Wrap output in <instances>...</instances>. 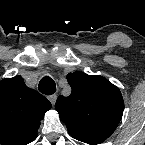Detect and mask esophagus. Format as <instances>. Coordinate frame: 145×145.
Here are the masks:
<instances>
[{"instance_id": "esophagus-1", "label": "esophagus", "mask_w": 145, "mask_h": 145, "mask_svg": "<svg viewBox=\"0 0 145 145\" xmlns=\"http://www.w3.org/2000/svg\"><path fill=\"white\" fill-rule=\"evenodd\" d=\"M49 101L51 102V104L54 106L55 103H56V99H57V95L56 94H53V95H50L48 97Z\"/></svg>"}]
</instances>
